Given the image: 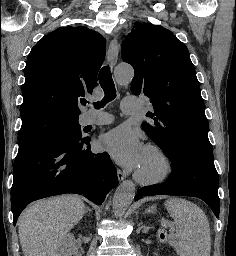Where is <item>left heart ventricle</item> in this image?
<instances>
[{
  "label": "left heart ventricle",
  "mask_w": 236,
  "mask_h": 256,
  "mask_svg": "<svg viewBox=\"0 0 236 256\" xmlns=\"http://www.w3.org/2000/svg\"><path fill=\"white\" fill-rule=\"evenodd\" d=\"M160 163L156 155L145 150L137 170L145 176H152L158 172Z\"/></svg>",
  "instance_id": "b2bd125f"
}]
</instances>
